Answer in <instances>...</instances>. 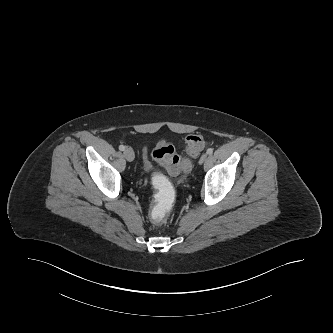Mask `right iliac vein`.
Wrapping results in <instances>:
<instances>
[{"mask_svg":"<svg viewBox=\"0 0 333 333\" xmlns=\"http://www.w3.org/2000/svg\"><path fill=\"white\" fill-rule=\"evenodd\" d=\"M124 157L127 161L132 162L135 157L134 151L131 148H126L124 150Z\"/></svg>","mask_w":333,"mask_h":333,"instance_id":"1","label":"right iliac vein"}]
</instances>
